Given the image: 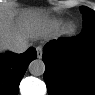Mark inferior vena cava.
<instances>
[{"mask_svg":"<svg viewBox=\"0 0 95 95\" xmlns=\"http://www.w3.org/2000/svg\"><path fill=\"white\" fill-rule=\"evenodd\" d=\"M28 49V42L26 40H19L9 46V50L14 53H23Z\"/></svg>","mask_w":95,"mask_h":95,"instance_id":"602c4592","label":"inferior vena cava"}]
</instances>
